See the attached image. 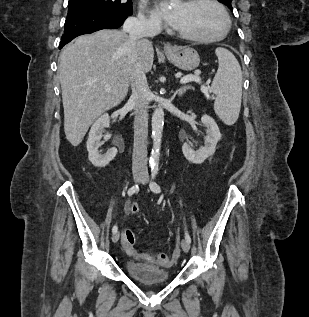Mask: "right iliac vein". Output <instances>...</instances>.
Here are the masks:
<instances>
[{
	"mask_svg": "<svg viewBox=\"0 0 309 317\" xmlns=\"http://www.w3.org/2000/svg\"><path fill=\"white\" fill-rule=\"evenodd\" d=\"M143 172L140 170H136L133 172V180L134 182H139L142 178H143ZM120 237V233L119 232H115L112 235V242L116 243L119 240Z\"/></svg>",
	"mask_w": 309,
	"mask_h": 317,
	"instance_id": "obj_1",
	"label": "right iliac vein"
}]
</instances>
